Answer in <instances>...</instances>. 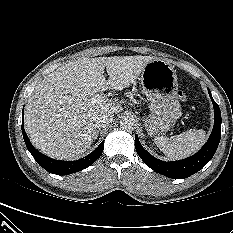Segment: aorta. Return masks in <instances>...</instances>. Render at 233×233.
Segmentation results:
<instances>
[{"mask_svg":"<svg viewBox=\"0 0 233 233\" xmlns=\"http://www.w3.org/2000/svg\"><path fill=\"white\" fill-rule=\"evenodd\" d=\"M120 127L123 130L132 131L136 128V122L133 118L126 117L121 120Z\"/></svg>","mask_w":233,"mask_h":233,"instance_id":"762f6f07","label":"aorta"}]
</instances>
